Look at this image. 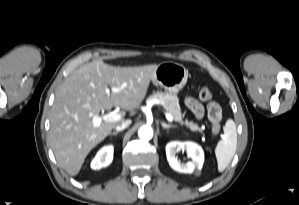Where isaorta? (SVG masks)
I'll list each match as a JSON object with an SVG mask.
<instances>
[{"label":"aorta","mask_w":299,"mask_h":205,"mask_svg":"<svg viewBox=\"0 0 299 205\" xmlns=\"http://www.w3.org/2000/svg\"><path fill=\"white\" fill-rule=\"evenodd\" d=\"M138 136L143 140H150L153 137V129L148 125H144L139 129Z\"/></svg>","instance_id":"1"}]
</instances>
